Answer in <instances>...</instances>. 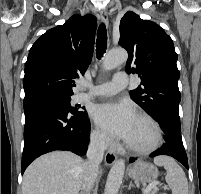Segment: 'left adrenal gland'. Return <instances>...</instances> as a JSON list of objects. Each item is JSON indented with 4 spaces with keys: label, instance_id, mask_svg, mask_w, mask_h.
Masks as SVG:
<instances>
[{
    "label": "left adrenal gland",
    "instance_id": "obj_1",
    "mask_svg": "<svg viewBox=\"0 0 201 194\" xmlns=\"http://www.w3.org/2000/svg\"><path fill=\"white\" fill-rule=\"evenodd\" d=\"M131 187H135V186L133 185L132 181H130V183H129L128 190H130Z\"/></svg>",
    "mask_w": 201,
    "mask_h": 194
}]
</instances>
